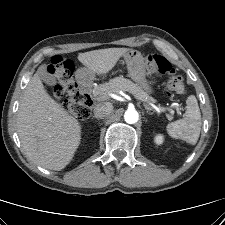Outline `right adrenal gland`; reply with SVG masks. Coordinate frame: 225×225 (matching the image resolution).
I'll return each mask as SVG.
<instances>
[{"instance_id":"2a0ac1e0","label":"right adrenal gland","mask_w":225,"mask_h":225,"mask_svg":"<svg viewBox=\"0 0 225 225\" xmlns=\"http://www.w3.org/2000/svg\"><path fill=\"white\" fill-rule=\"evenodd\" d=\"M92 118H95V119H97V117H95V116H92Z\"/></svg>"}]
</instances>
